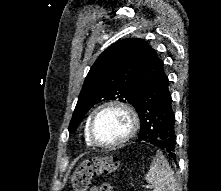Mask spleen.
Segmentation results:
<instances>
[{
	"label": "spleen",
	"mask_w": 221,
	"mask_h": 191,
	"mask_svg": "<svg viewBox=\"0 0 221 191\" xmlns=\"http://www.w3.org/2000/svg\"><path fill=\"white\" fill-rule=\"evenodd\" d=\"M145 179L152 185L153 191H176L174 172L161 153L156 154Z\"/></svg>",
	"instance_id": "3e777b00"
}]
</instances>
